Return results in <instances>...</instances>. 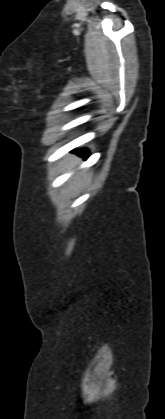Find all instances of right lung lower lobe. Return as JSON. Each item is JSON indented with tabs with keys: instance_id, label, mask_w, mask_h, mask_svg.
Returning <instances> with one entry per match:
<instances>
[{
	"instance_id": "1",
	"label": "right lung lower lobe",
	"mask_w": 165,
	"mask_h": 419,
	"mask_svg": "<svg viewBox=\"0 0 165 419\" xmlns=\"http://www.w3.org/2000/svg\"><path fill=\"white\" fill-rule=\"evenodd\" d=\"M81 155H83V156H85V157H88V152L87 151H85V150H79L78 151Z\"/></svg>"
}]
</instances>
